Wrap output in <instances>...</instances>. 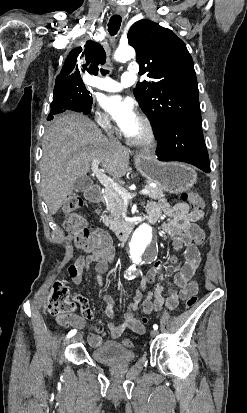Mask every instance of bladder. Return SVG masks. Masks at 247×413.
Masks as SVG:
<instances>
[{
	"instance_id": "31cf9c89",
	"label": "bladder",
	"mask_w": 247,
	"mask_h": 413,
	"mask_svg": "<svg viewBox=\"0 0 247 413\" xmlns=\"http://www.w3.org/2000/svg\"><path fill=\"white\" fill-rule=\"evenodd\" d=\"M96 362L105 364L132 362L136 354L129 349H125L118 342L105 341L99 349L91 352Z\"/></svg>"
}]
</instances>
